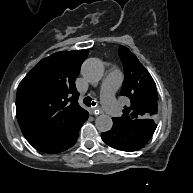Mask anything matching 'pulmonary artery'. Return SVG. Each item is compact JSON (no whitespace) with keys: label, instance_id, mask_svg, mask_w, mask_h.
<instances>
[{"label":"pulmonary artery","instance_id":"obj_1","mask_svg":"<svg viewBox=\"0 0 193 193\" xmlns=\"http://www.w3.org/2000/svg\"><path fill=\"white\" fill-rule=\"evenodd\" d=\"M121 81L122 75L120 70L117 66H114L108 71L102 83V101L108 113L113 117L116 116L114 94L119 88Z\"/></svg>","mask_w":193,"mask_h":193}]
</instances>
